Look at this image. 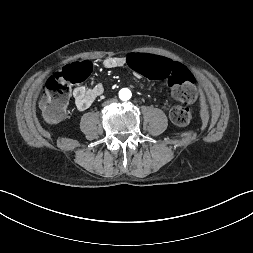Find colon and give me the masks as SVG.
<instances>
[{
    "mask_svg": "<svg viewBox=\"0 0 253 253\" xmlns=\"http://www.w3.org/2000/svg\"><path fill=\"white\" fill-rule=\"evenodd\" d=\"M126 68L132 74L165 79L173 96L180 102L191 103L197 97L194 78L174 59L148 53H132L126 59ZM90 71L89 62L76 63L55 73L47 81L40 105L48 121L56 122L65 116L71 87L84 81ZM170 118L174 124L186 126L192 119V111L185 106H174L170 110Z\"/></svg>",
    "mask_w": 253,
    "mask_h": 253,
    "instance_id": "5ec220e1",
    "label": "colon"
}]
</instances>
